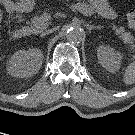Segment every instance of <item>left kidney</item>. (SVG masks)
I'll list each match as a JSON object with an SVG mask.
<instances>
[{
	"label": "left kidney",
	"instance_id": "obj_1",
	"mask_svg": "<svg viewBox=\"0 0 135 135\" xmlns=\"http://www.w3.org/2000/svg\"><path fill=\"white\" fill-rule=\"evenodd\" d=\"M98 62L109 72L119 70L122 61V53L115 51L107 45H101L97 49Z\"/></svg>",
	"mask_w": 135,
	"mask_h": 135
}]
</instances>
